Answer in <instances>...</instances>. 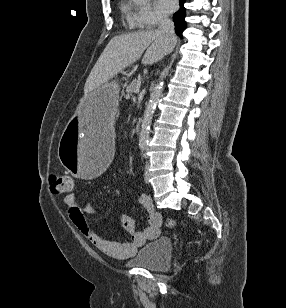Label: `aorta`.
I'll return each mask as SVG.
<instances>
[{
    "label": "aorta",
    "mask_w": 286,
    "mask_h": 308,
    "mask_svg": "<svg viewBox=\"0 0 286 308\" xmlns=\"http://www.w3.org/2000/svg\"><path fill=\"white\" fill-rule=\"evenodd\" d=\"M133 2L139 4V3L144 2V0H133ZM163 86H164V83L161 81L153 88L150 94L149 102L144 111L142 124H141V132H140V137H139V144L142 147H146L149 143L150 125L152 122V117L156 109L157 103L162 95Z\"/></svg>",
    "instance_id": "1"
}]
</instances>
